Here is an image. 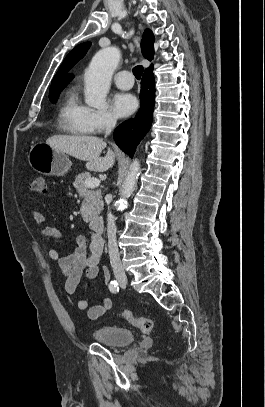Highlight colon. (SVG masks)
<instances>
[{
	"instance_id": "obj_1",
	"label": "colon",
	"mask_w": 265,
	"mask_h": 407,
	"mask_svg": "<svg viewBox=\"0 0 265 407\" xmlns=\"http://www.w3.org/2000/svg\"><path fill=\"white\" fill-rule=\"evenodd\" d=\"M31 189L37 194L46 193V182L42 176L34 177ZM122 317L128 320L133 326L139 328L143 333L149 334L153 330V321L146 317L135 316L130 311H124Z\"/></svg>"
}]
</instances>
